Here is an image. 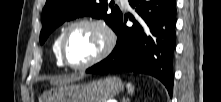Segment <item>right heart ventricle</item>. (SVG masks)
<instances>
[{
    "label": "right heart ventricle",
    "instance_id": "obj_1",
    "mask_svg": "<svg viewBox=\"0 0 221 102\" xmlns=\"http://www.w3.org/2000/svg\"><path fill=\"white\" fill-rule=\"evenodd\" d=\"M63 30H61L58 35L56 36L53 45H52V51H53V55L55 57L56 63L58 66H63L61 59H60V55H59V44H60V39L62 36Z\"/></svg>",
    "mask_w": 221,
    "mask_h": 102
}]
</instances>
